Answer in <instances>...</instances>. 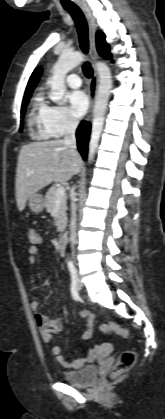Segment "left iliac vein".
<instances>
[{
	"label": "left iliac vein",
	"mask_w": 165,
	"mask_h": 419,
	"mask_svg": "<svg viewBox=\"0 0 165 419\" xmlns=\"http://www.w3.org/2000/svg\"><path fill=\"white\" fill-rule=\"evenodd\" d=\"M78 288L81 289V282L79 279H78Z\"/></svg>",
	"instance_id": "obj_1"
}]
</instances>
